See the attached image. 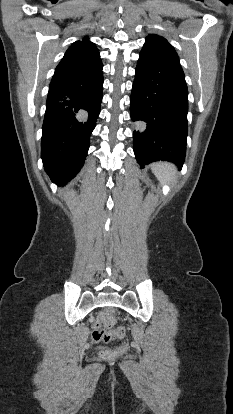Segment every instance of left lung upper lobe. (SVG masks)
<instances>
[{
    "label": "left lung upper lobe",
    "instance_id": "5c2ea615",
    "mask_svg": "<svg viewBox=\"0 0 233 414\" xmlns=\"http://www.w3.org/2000/svg\"><path fill=\"white\" fill-rule=\"evenodd\" d=\"M141 52L154 55L168 62L179 64V58L175 49L165 38L159 35H148Z\"/></svg>",
    "mask_w": 233,
    "mask_h": 414
}]
</instances>
